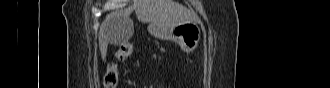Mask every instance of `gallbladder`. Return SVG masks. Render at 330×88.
Instances as JSON below:
<instances>
[{"label": "gallbladder", "mask_w": 330, "mask_h": 88, "mask_svg": "<svg viewBox=\"0 0 330 88\" xmlns=\"http://www.w3.org/2000/svg\"><path fill=\"white\" fill-rule=\"evenodd\" d=\"M133 24L132 22L122 21L114 24V34L116 43L113 44H123L130 40L133 35Z\"/></svg>", "instance_id": "gallbladder-1"}]
</instances>
